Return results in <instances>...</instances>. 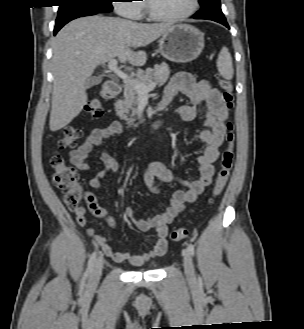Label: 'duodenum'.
<instances>
[{
    "label": "duodenum",
    "mask_w": 304,
    "mask_h": 329,
    "mask_svg": "<svg viewBox=\"0 0 304 329\" xmlns=\"http://www.w3.org/2000/svg\"><path fill=\"white\" fill-rule=\"evenodd\" d=\"M119 92V84L116 80H108L102 90V95L104 98L115 97ZM160 126V121L156 120L149 124V128L152 130L157 129Z\"/></svg>",
    "instance_id": "duodenum-1"
}]
</instances>
